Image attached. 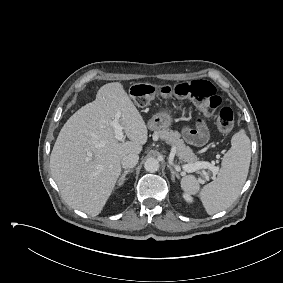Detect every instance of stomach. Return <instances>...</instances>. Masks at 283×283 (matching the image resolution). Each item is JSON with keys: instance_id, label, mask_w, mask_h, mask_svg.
<instances>
[{"instance_id": "obj_1", "label": "stomach", "mask_w": 283, "mask_h": 283, "mask_svg": "<svg viewBox=\"0 0 283 283\" xmlns=\"http://www.w3.org/2000/svg\"><path fill=\"white\" fill-rule=\"evenodd\" d=\"M172 121L171 110L163 109L148 121V128L155 131L169 129Z\"/></svg>"}]
</instances>
